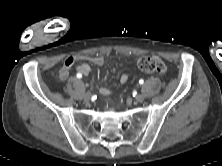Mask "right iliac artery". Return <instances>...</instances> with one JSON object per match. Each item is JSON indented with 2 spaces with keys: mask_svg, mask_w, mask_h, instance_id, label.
Segmentation results:
<instances>
[{
  "mask_svg": "<svg viewBox=\"0 0 222 166\" xmlns=\"http://www.w3.org/2000/svg\"><path fill=\"white\" fill-rule=\"evenodd\" d=\"M77 77L78 78H82V74L81 73H77Z\"/></svg>",
  "mask_w": 222,
  "mask_h": 166,
  "instance_id": "obj_1",
  "label": "right iliac artery"
}]
</instances>
